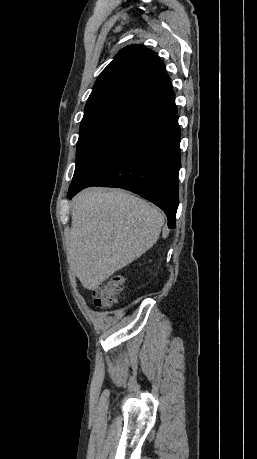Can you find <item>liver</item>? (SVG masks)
Masks as SVG:
<instances>
[{"label":"liver","instance_id":"obj_1","mask_svg":"<svg viewBox=\"0 0 257 459\" xmlns=\"http://www.w3.org/2000/svg\"><path fill=\"white\" fill-rule=\"evenodd\" d=\"M163 214L123 190L86 189L74 199L68 235L69 264L93 290L158 240Z\"/></svg>","mask_w":257,"mask_h":459}]
</instances>
